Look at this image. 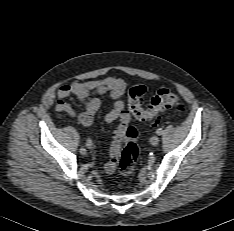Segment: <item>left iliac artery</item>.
Segmentation results:
<instances>
[{
	"instance_id": "obj_1",
	"label": "left iliac artery",
	"mask_w": 234,
	"mask_h": 231,
	"mask_svg": "<svg viewBox=\"0 0 234 231\" xmlns=\"http://www.w3.org/2000/svg\"><path fill=\"white\" fill-rule=\"evenodd\" d=\"M156 133H157L158 135H161V134H162V129H161V128L157 129V130H156Z\"/></svg>"
}]
</instances>
